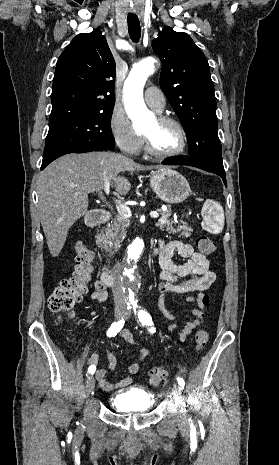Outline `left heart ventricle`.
<instances>
[{"instance_id":"1","label":"left heart ventricle","mask_w":279,"mask_h":465,"mask_svg":"<svg viewBox=\"0 0 279 465\" xmlns=\"http://www.w3.org/2000/svg\"><path fill=\"white\" fill-rule=\"evenodd\" d=\"M143 134L150 138L154 149L159 152L174 151L180 143L177 128L172 124H160L157 120L152 121Z\"/></svg>"}]
</instances>
